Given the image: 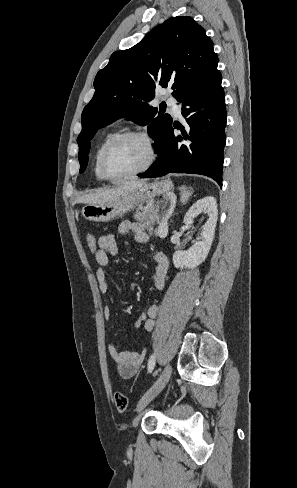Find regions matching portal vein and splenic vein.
I'll return each instance as SVG.
<instances>
[{
	"label": "portal vein and splenic vein",
	"mask_w": 297,
	"mask_h": 488,
	"mask_svg": "<svg viewBox=\"0 0 297 488\" xmlns=\"http://www.w3.org/2000/svg\"><path fill=\"white\" fill-rule=\"evenodd\" d=\"M172 212H173V209H170L168 213H166V214L163 215L160 230H162L164 228V226L167 224L169 218L172 215Z\"/></svg>",
	"instance_id": "18ae733b"
}]
</instances>
